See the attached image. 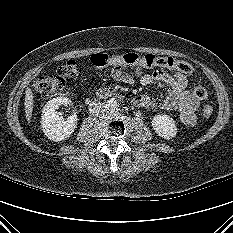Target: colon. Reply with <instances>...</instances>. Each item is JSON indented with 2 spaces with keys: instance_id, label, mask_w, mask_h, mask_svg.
<instances>
[{
  "instance_id": "1",
  "label": "colon",
  "mask_w": 233,
  "mask_h": 233,
  "mask_svg": "<svg viewBox=\"0 0 233 233\" xmlns=\"http://www.w3.org/2000/svg\"><path fill=\"white\" fill-rule=\"evenodd\" d=\"M91 63L96 68H103L112 64L132 65L143 67H163L169 68L185 75H192L193 67L181 60L172 57H159L153 54H139L136 52H129L120 55L110 56L105 53H97L91 56ZM78 75V64L75 60H69L63 64L55 75L41 76L32 82V88L40 96L49 98L58 94L65 86L66 79H73ZM193 95L197 99H204L206 97V89L197 85L193 89ZM213 113V107L207 104L203 107L202 115L204 119H209Z\"/></svg>"
}]
</instances>
